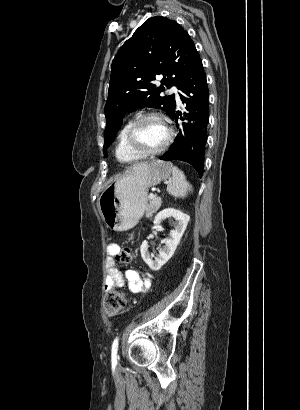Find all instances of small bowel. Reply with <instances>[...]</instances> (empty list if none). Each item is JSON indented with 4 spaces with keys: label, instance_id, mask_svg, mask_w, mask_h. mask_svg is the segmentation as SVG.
<instances>
[{
    "label": "small bowel",
    "instance_id": "1",
    "mask_svg": "<svg viewBox=\"0 0 300 410\" xmlns=\"http://www.w3.org/2000/svg\"><path fill=\"white\" fill-rule=\"evenodd\" d=\"M119 246L111 243L107 246L106 260V280L104 289L106 292L113 291L116 288L127 287L132 293L140 294L146 292L151 286V280L144 273L134 270L122 272L116 265L113 256L118 252Z\"/></svg>",
    "mask_w": 300,
    "mask_h": 410
}]
</instances>
